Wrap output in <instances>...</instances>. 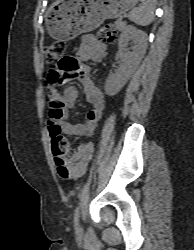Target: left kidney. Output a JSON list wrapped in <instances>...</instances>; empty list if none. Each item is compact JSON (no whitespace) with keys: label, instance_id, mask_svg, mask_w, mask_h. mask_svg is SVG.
Here are the masks:
<instances>
[{"label":"left kidney","instance_id":"1","mask_svg":"<svg viewBox=\"0 0 194 250\" xmlns=\"http://www.w3.org/2000/svg\"><path fill=\"white\" fill-rule=\"evenodd\" d=\"M129 41L134 42L133 51L125 53ZM118 46L116 59H120V66L107 80V91L121 89L138 68L146 53L147 34L131 25L126 26L120 35Z\"/></svg>","mask_w":194,"mask_h":250}]
</instances>
